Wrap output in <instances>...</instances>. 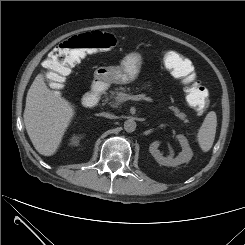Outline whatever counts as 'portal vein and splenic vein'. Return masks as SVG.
<instances>
[{"label":"portal vein and splenic vein","instance_id":"1","mask_svg":"<svg viewBox=\"0 0 245 245\" xmlns=\"http://www.w3.org/2000/svg\"><path fill=\"white\" fill-rule=\"evenodd\" d=\"M145 95H129L126 93H120L117 97L118 102H125L127 100H134V101H138V100H142L144 99Z\"/></svg>","mask_w":245,"mask_h":245}]
</instances>
